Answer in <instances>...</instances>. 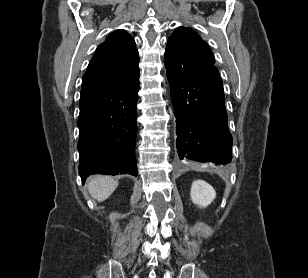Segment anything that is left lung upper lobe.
Here are the masks:
<instances>
[{
  "mask_svg": "<svg viewBox=\"0 0 308 278\" xmlns=\"http://www.w3.org/2000/svg\"><path fill=\"white\" fill-rule=\"evenodd\" d=\"M167 70L187 74L213 67L214 55L191 28L179 27L169 37L164 58Z\"/></svg>",
  "mask_w": 308,
  "mask_h": 278,
  "instance_id": "obj_1",
  "label": "left lung upper lobe"
}]
</instances>
